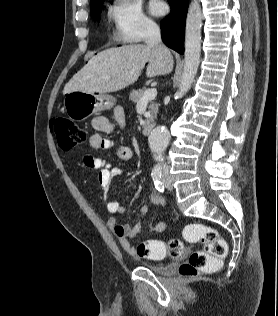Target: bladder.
I'll list each match as a JSON object with an SVG mask.
<instances>
[{"mask_svg":"<svg viewBox=\"0 0 278 316\" xmlns=\"http://www.w3.org/2000/svg\"><path fill=\"white\" fill-rule=\"evenodd\" d=\"M141 265L151 272L159 275H166L173 271L174 265L173 264H161V263H154V262H142Z\"/></svg>","mask_w":278,"mask_h":316,"instance_id":"bladder-1","label":"bladder"}]
</instances>
